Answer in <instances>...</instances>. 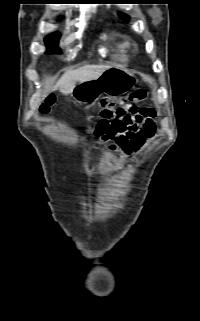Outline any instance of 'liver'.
Masks as SVG:
<instances>
[{
  "label": "liver",
  "instance_id": "1",
  "mask_svg": "<svg viewBox=\"0 0 200 321\" xmlns=\"http://www.w3.org/2000/svg\"><path fill=\"white\" fill-rule=\"evenodd\" d=\"M109 65H88L76 70H68L65 74L50 88V91L59 89L63 94L72 92L77 82H85L97 79Z\"/></svg>",
  "mask_w": 200,
  "mask_h": 321
}]
</instances>
